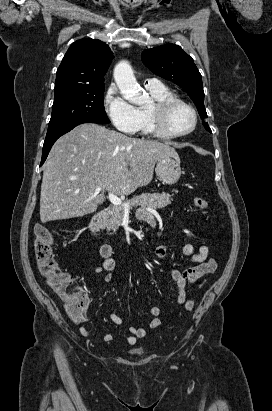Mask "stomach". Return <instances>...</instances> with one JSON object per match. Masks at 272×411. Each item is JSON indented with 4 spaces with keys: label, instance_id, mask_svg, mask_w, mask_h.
<instances>
[{
    "label": "stomach",
    "instance_id": "obj_1",
    "mask_svg": "<svg viewBox=\"0 0 272 411\" xmlns=\"http://www.w3.org/2000/svg\"><path fill=\"white\" fill-rule=\"evenodd\" d=\"M155 171L163 183L175 184L181 176L180 161L172 157L159 159L156 162Z\"/></svg>",
    "mask_w": 272,
    "mask_h": 411
}]
</instances>
